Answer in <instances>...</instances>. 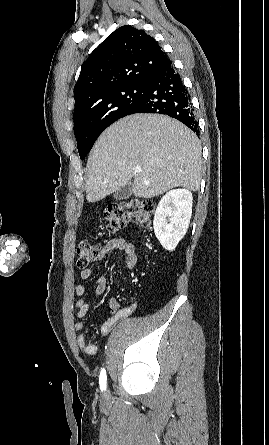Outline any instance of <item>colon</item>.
<instances>
[{
    "mask_svg": "<svg viewBox=\"0 0 269 445\" xmlns=\"http://www.w3.org/2000/svg\"><path fill=\"white\" fill-rule=\"evenodd\" d=\"M153 211V203L148 200L131 199L111 204L103 213L106 232L114 233L128 223H137L143 228H148L151 224ZM100 250V246L92 241L79 244L76 249L77 266L80 269L87 268L98 258Z\"/></svg>",
    "mask_w": 269,
    "mask_h": 445,
    "instance_id": "5ec220e1",
    "label": "colon"
}]
</instances>
